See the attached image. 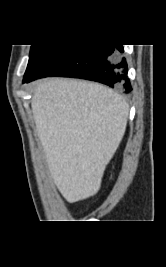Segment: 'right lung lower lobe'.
<instances>
[{
	"label": "right lung lower lobe",
	"instance_id": "obj_1",
	"mask_svg": "<svg viewBox=\"0 0 166 267\" xmlns=\"http://www.w3.org/2000/svg\"><path fill=\"white\" fill-rule=\"evenodd\" d=\"M122 45H52L32 73L28 83L47 76H64L92 80L124 93H131Z\"/></svg>",
	"mask_w": 166,
	"mask_h": 267
}]
</instances>
